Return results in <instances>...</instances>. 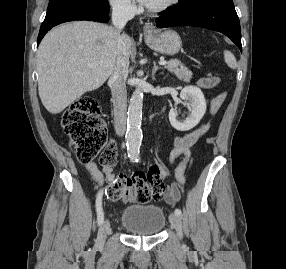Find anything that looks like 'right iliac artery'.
<instances>
[{
    "label": "right iliac artery",
    "instance_id": "1",
    "mask_svg": "<svg viewBox=\"0 0 286 269\" xmlns=\"http://www.w3.org/2000/svg\"><path fill=\"white\" fill-rule=\"evenodd\" d=\"M102 196H103V190H100L96 197V209H97V222L98 225H101L104 220V212L102 208Z\"/></svg>",
    "mask_w": 286,
    "mask_h": 269
}]
</instances>
